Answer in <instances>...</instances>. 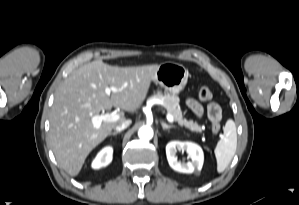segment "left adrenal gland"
Masks as SVG:
<instances>
[{"mask_svg":"<svg viewBox=\"0 0 299 205\" xmlns=\"http://www.w3.org/2000/svg\"><path fill=\"white\" fill-rule=\"evenodd\" d=\"M161 125H162V127H163L164 130H169L171 128H176V126H174V125H168V124H166L164 122H161Z\"/></svg>","mask_w":299,"mask_h":205,"instance_id":"left-adrenal-gland-1","label":"left adrenal gland"}]
</instances>
